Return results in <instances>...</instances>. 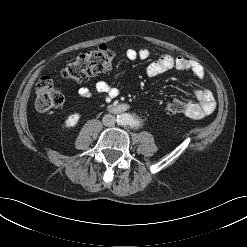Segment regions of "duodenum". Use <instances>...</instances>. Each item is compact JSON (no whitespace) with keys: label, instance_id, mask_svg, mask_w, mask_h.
<instances>
[{"label":"duodenum","instance_id":"1","mask_svg":"<svg viewBox=\"0 0 247 247\" xmlns=\"http://www.w3.org/2000/svg\"><path fill=\"white\" fill-rule=\"evenodd\" d=\"M127 109H128V106L125 105V104H122V105L115 106V107L113 108V111H114L115 113H121V112L126 111Z\"/></svg>","mask_w":247,"mask_h":247}]
</instances>
